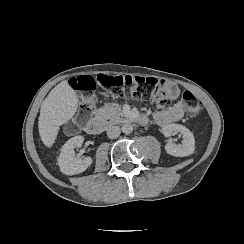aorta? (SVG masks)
<instances>
[{
    "label": "aorta",
    "instance_id": "aorta-1",
    "mask_svg": "<svg viewBox=\"0 0 244 244\" xmlns=\"http://www.w3.org/2000/svg\"><path fill=\"white\" fill-rule=\"evenodd\" d=\"M121 129L124 134H130L133 131V126L130 123H125Z\"/></svg>",
    "mask_w": 244,
    "mask_h": 244
}]
</instances>
